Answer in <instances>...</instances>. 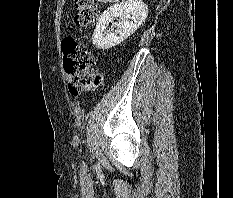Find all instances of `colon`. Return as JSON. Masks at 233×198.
<instances>
[{
  "mask_svg": "<svg viewBox=\"0 0 233 198\" xmlns=\"http://www.w3.org/2000/svg\"><path fill=\"white\" fill-rule=\"evenodd\" d=\"M77 15L69 30H86L97 20L99 9L94 0H75ZM63 63L73 94L91 91L98 87L102 77L94 69V59L86 47L76 38L68 36L62 41Z\"/></svg>",
  "mask_w": 233,
  "mask_h": 198,
  "instance_id": "obj_1",
  "label": "colon"
}]
</instances>
